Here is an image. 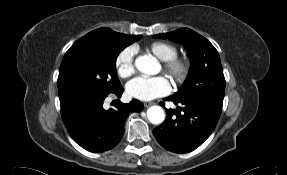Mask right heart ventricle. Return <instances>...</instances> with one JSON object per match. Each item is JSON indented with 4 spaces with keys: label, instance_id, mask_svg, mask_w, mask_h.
Listing matches in <instances>:
<instances>
[{
    "label": "right heart ventricle",
    "instance_id": "right-heart-ventricle-1",
    "mask_svg": "<svg viewBox=\"0 0 287 175\" xmlns=\"http://www.w3.org/2000/svg\"><path fill=\"white\" fill-rule=\"evenodd\" d=\"M146 50L162 61L176 57L178 54L177 47L166 41L152 42L146 46Z\"/></svg>",
    "mask_w": 287,
    "mask_h": 175
}]
</instances>
